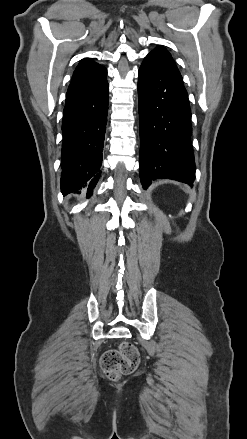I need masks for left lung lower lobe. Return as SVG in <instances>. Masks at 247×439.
<instances>
[{"label":"left lung lower lobe","mask_w":247,"mask_h":439,"mask_svg":"<svg viewBox=\"0 0 247 439\" xmlns=\"http://www.w3.org/2000/svg\"><path fill=\"white\" fill-rule=\"evenodd\" d=\"M140 178L191 184L195 178L191 109L183 81L144 59L138 79Z\"/></svg>","instance_id":"left-lung-lower-lobe-1"}]
</instances>
